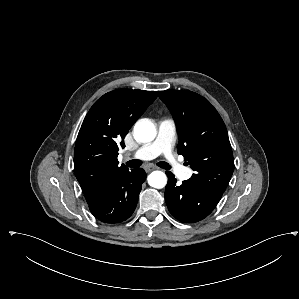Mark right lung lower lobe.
Returning a JSON list of instances; mask_svg holds the SVG:
<instances>
[{"label": "right lung lower lobe", "instance_id": "1", "mask_svg": "<svg viewBox=\"0 0 299 299\" xmlns=\"http://www.w3.org/2000/svg\"><path fill=\"white\" fill-rule=\"evenodd\" d=\"M145 178L141 168L121 172L87 202L90 211L105 223L125 221L135 210Z\"/></svg>", "mask_w": 299, "mask_h": 299}]
</instances>
